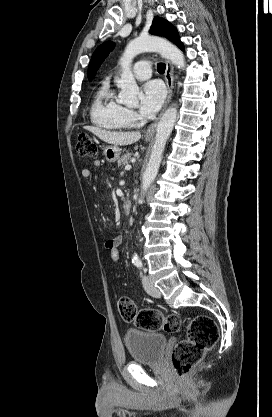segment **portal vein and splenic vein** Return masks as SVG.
<instances>
[{"mask_svg": "<svg viewBox=\"0 0 272 417\" xmlns=\"http://www.w3.org/2000/svg\"><path fill=\"white\" fill-rule=\"evenodd\" d=\"M131 169V165H126L125 166V170H130Z\"/></svg>", "mask_w": 272, "mask_h": 417, "instance_id": "portal-vein-and-splenic-vein-1", "label": "portal vein and splenic vein"}]
</instances>
